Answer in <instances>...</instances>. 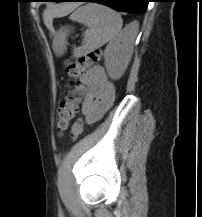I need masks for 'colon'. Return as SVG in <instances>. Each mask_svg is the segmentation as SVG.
Listing matches in <instances>:
<instances>
[{
  "mask_svg": "<svg viewBox=\"0 0 202 217\" xmlns=\"http://www.w3.org/2000/svg\"><path fill=\"white\" fill-rule=\"evenodd\" d=\"M101 57L102 53L99 50L90 51L86 55L79 57L67 67L68 75L75 80L78 79L87 67L100 61ZM77 110L78 104L74 97L66 96L62 100L57 112L56 120V127L59 132H63L67 129ZM82 132L83 123L81 121L75 122L71 128V137L77 139Z\"/></svg>",
  "mask_w": 202,
  "mask_h": 217,
  "instance_id": "obj_1",
  "label": "colon"
}]
</instances>
